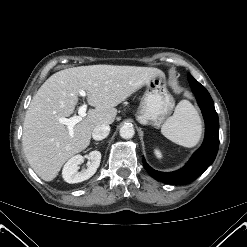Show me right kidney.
<instances>
[{
    "label": "right kidney",
    "mask_w": 247,
    "mask_h": 247,
    "mask_svg": "<svg viewBox=\"0 0 247 247\" xmlns=\"http://www.w3.org/2000/svg\"><path fill=\"white\" fill-rule=\"evenodd\" d=\"M89 160L87 169L78 171L79 165L82 163L84 157L82 155H75L70 158L63 167L62 176L67 183H79L92 177L100 165L101 153L99 151H92L85 156Z\"/></svg>",
    "instance_id": "1"
}]
</instances>
